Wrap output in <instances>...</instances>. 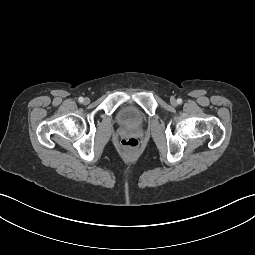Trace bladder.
<instances>
[{
    "mask_svg": "<svg viewBox=\"0 0 255 255\" xmlns=\"http://www.w3.org/2000/svg\"><path fill=\"white\" fill-rule=\"evenodd\" d=\"M118 121L125 126H139L142 124V117L139 112L132 106H123L118 112Z\"/></svg>",
    "mask_w": 255,
    "mask_h": 255,
    "instance_id": "bladder-1",
    "label": "bladder"
}]
</instances>
